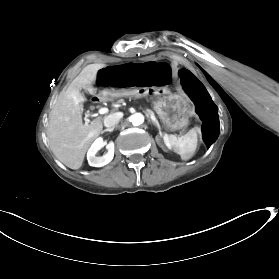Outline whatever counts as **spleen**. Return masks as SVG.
Here are the masks:
<instances>
[{
	"instance_id": "1",
	"label": "spleen",
	"mask_w": 279,
	"mask_h": 279,
	"mask_svg": "<svg viewBox=\"0 0 279 279\" xmlns=\"http://www.w3.org/2000/svg\"><path fill=\"white\" fill-rule=\"evenodd\" d=\"M169 143L173 151L181 156L183 160H189L195 153L197 147L196 130H190L183 139L175 135L168 136Z\"/></svg>"
}]
</instances>
